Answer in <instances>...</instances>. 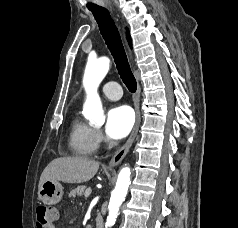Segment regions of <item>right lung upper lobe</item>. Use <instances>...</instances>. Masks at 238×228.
<instances>
[{"instance_id": "obj_1", "label": "right lung upper lobe", "mask_w": 238, "mask_h": 228, "mask_svg": "<svg viewBox=\"0 0 238 228\" xmlns=\"http://www.w3.org/2000/svg\"><path fill=\"white\" fill-rule=\"evenodd\" d=\"M127 39H128L129 44H130V46H131V39H130L129 31H127Z\"/></svg>"}]
</instances>
